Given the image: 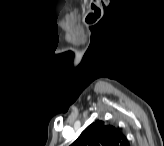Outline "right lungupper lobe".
Segmentation results:
<instances>
[{"label": "right lung upper lobe", "instance_id": "obj_1", "mask_svg": "<svg viewBox=\"0 0 164 146\" xmlns=\"http://www.w3.org/2000/svg\"><path fill=\"white\" fill-rule=\"evenodd\" d=\"M72 146H128V141L116 127L96 121L81 133Z\"/></svg>", "mask_w": 164, "mask_h": 146}]
</instances>
